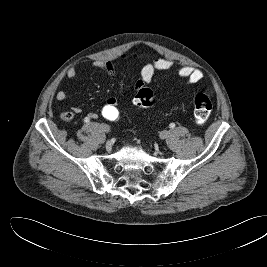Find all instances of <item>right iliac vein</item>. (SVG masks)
<instances>
[{
    "label": "right iliac vein",
    "mask_w": 267,
    "mask_h": 267,
    "mask_svg": "<svg viewBox=\"0 0 267 267\" xmlns=\"http://www.w3.org/2000/svg\"><path fill=\"white\" fill-rule=\"evenodd\" d=\"M101 128H102L103 131H105V132H109V130H110L109 126L106 125V124H101Z\"/></svg>",
    "instance_id": "63e3f726"
}]
</instances>
